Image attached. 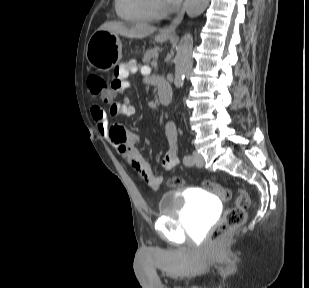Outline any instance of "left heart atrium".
I'll use <instances>...</instances> for the list:
<instances>
[{
    "label": "left heart atrium",
    "instance_id": "obj_1",
    "mask_svg": "<svg viewBox=\"0 0 309 288\" xmlns=\"http://www.w3.org/2000/svg\"><path fill=\"white\" fill-rule=\"evenodd\" d=\"M164 1L167 5L172 7L177 6L181 2V0H164Z\"/></svg>",
    "mask_w": 309,
    "mask_h": 288
}]
</instances>
